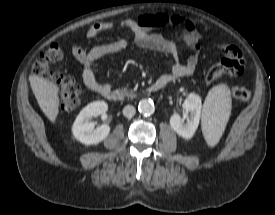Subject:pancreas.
Wrapping results in <instances>:
<instances>
[{
    "mask_svg": "<svg viewBox=\"0 0 275 215\" xmlns=\"http://www.w3.org/2000/svg\"><path fill=\"white\" fill-rule=\"evenodd\" d=\"M123 93H124L125 96H128V97H134L135 96L133 90H128L127 88L123 89Z\"/></svg>",
    "mask_w": 275,
    "mask_h": 215,
    "instance_id": "cf45deb5",
    "label": "pancreas"
}]
</instances>
